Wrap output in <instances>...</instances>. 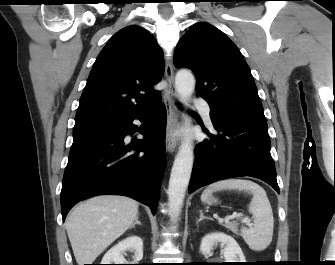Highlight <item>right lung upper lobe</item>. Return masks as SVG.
Listing matches in <instances>:
<instances>
[{"mask_svg": "<svg viewBox=\"0 0 335 265\" xmlns=\"http://www.w3.org/2000/svg\"><path fill=\"white\" fill-rule=\"evenodd\" d=\"M164 73L163 52L142 27L118 31L99 53L79 101L75 126L107 125L153 108L152 87Z\"/></svg>", "mask_w": 335, "mask_h": 265, "instance_id": "cb5924a9", "label": "right lung upper lobe"}]
</instances>
